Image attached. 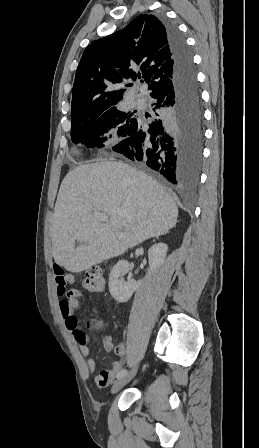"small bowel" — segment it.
Listing matches in <instances>:
<instances>
[{
  "mask_svg": "<svg viewBox=\"0 0 259 448\" xmlns=\"http://www.w3.org/2000/svg\"><path fill=\"white\" fill-rule=\"evenodd\" d=\"M53 274L57 287V293L59 295H64V297L59 301V310L62 318L64 319L65 326L68 330L73 332L75 339L78 342L79 350L86 358L87 372H95L97 366L95 360L90 355L88 337L79 329L78 320L74 314L80 306V300L86 299V297L74 288L75 277L67 274L62 266L59 264H54ZM68 284L72 286L71 289H66ZM103 346L107 352L114 350L118 359L112 363L109 369L101 371L95 377V382L99 387H107L114 381L115 376H117V373L121 370L124 364V357L126 353L124 345L120 344L114 347L113 339L110 336L104 338Z\"/></svg>",
  "mask_w": 259,
  "mask_h": 448,
  "instance_id": "obj_1",
  "label": "small bowel"
}]
</instances>
